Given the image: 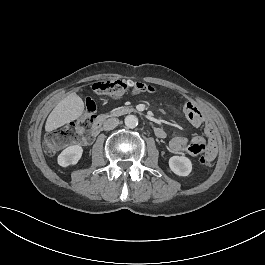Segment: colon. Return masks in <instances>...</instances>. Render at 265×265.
Wrapping results in <instances>:
<instances>
[{"mask_svg":"<svg viewBox=\"0 0 265 265\" xmlns=\"http://www.w3.org/2000/svg\"><path fill=\"white\" fill-rule=\"evenodd\" d=\"M92 91L97 95H105L110 98H120L126 93H145L152 90V86L139 81H127L123 79L112 80H97L91 85ZM90 111L95 109V104L90 102L88 104ZM80 124L84 125V121H80ZM77 132L74 129L73 124H67L61 128H58L55 132L50 133L47 136L45 142V149L47 153L54 154L62 145L69 143L76 139ZM207 155V154H205ZM205 155L200 158V164L209 166L212 161L205 160ZM209 155V154H208Z\"/></svg>","mask_w":265,"mask_h":265,"instance_id":"1","label":"colon"}]
</instances>
